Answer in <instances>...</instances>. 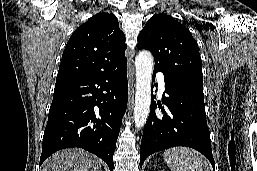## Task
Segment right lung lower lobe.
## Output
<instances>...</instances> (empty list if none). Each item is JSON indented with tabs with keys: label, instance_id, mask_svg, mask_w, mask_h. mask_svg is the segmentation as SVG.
<instances>
[{
	"label": "right lung lower lobe",
	"instance_id": "right-lung-lower-lobe-1",
	"mask_svg": "<svg viewBox=\"0 0 257 171\" xmlns=\"http://www.w3.org/2000/svg\"><path fill=\"white\" fill-rule=\"evenodd\" d=\"M126 63L55 85L39 166L54 152L80 147L103 159L113 171V154L126 111Z\"/></svg>",
	"mask_w": 257,
	"mask_h": 171
}]
</instances>
